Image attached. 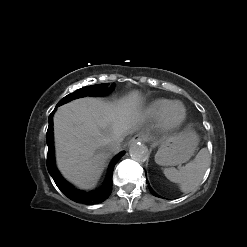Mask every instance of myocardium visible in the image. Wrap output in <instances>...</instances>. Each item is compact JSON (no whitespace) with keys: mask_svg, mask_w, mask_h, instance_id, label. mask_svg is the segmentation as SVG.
Masks as SVG:
<instances>
[{"mask_svg":"<svg viewBox=\"0 0 247 247\" xmlns=\"http://www.w3.org/2000/svg\"><path fill=\"white\" fill-rule=\"evenodd\" d=\"M180 107L181 108V115L178 118H173L171 113L174 108ZM187 116L185 106L180 102H172L160 115L158 121L160 127L165 131H172L176 130L182 126L185 122Z\"/></svg>","mask_w":247,"mask_h":247,"instance_id":"obj_1","label":"myocardium"}]
</instances>
